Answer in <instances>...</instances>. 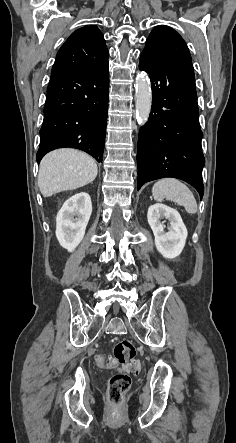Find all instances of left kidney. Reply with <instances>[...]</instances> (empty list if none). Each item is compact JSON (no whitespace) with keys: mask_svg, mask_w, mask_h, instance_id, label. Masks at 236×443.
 <instances>
[{"mask_svg":"<svg viewBox=\"0 0 236 443\" xmlns=\"http://www.w3.org/2000/svg\"><path fill=\"white\" fill-rule=\"evenodd\" d=\"M163 218L170 222L167 232L161 223ZM147 219L154 233L158 252L167 259L179 256L185 246L188 232L178 211L156 203L148 208Z\"/></svg>","mask_w":236,"mask_h":443,"instance_id":"1","label":"left kidney"}]
</instances>
